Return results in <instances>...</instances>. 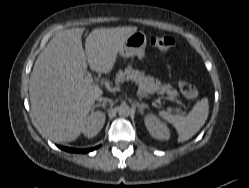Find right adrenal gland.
<instances>
[{
	"instance_id": "1",
	"label": "right adrenal gland",
	"mask_w": 249,
	"mask_h": 188,
	"mask_svg": "<svg viewBox=\"0 0 249 188\" xmlns=\"http://www.w3.org/2000/svg\"><path fill=\"white\" fill-rule=\"evenodd\" d=\"M106 102H108V101H103L102 103H98V104L94 105V106L92 107V110L94 111L95 108H98V107H101V106H102L103 108H105Z\"/></svg>"
}]
</instances>
